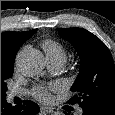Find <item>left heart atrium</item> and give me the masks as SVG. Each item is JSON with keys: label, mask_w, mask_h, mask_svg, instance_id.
Returning <instances> with one entry per match:
<instances>
[{"label": "left heart atrium", "mask_w": 115, "mask_h": 115, "mask_svg": "<svg viewBox=\"0 0 115 115\" xmlns=\"http://www.w3.org/2000/svg\"><path fill=\"white\" fill-rule=\"evenodd\" d=\"M60 88V84L38 85L33 88L32 95L42 102H48L51 99V91L59 90Z\"/></svg>", "instance_id": "1"}]
</instances>
